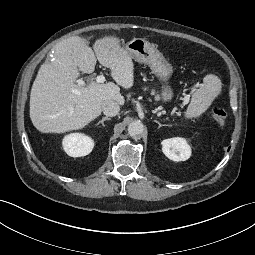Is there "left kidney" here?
I'll return each mask as SVG.
<instances>
[{"label": "left kidney", "instance_id": "left-kidney-1", "mask_svg": "<svg viewBox=\"0 0 255 255\" xmlns=\"http://www.w3.org/2000/svg\"><path fill=\"white\" fill-rule=\"evenodd\" d=\"M162 151L166 157L173 161H185L191 156V147L187 141L180 137L165 139L161 142Z\"/></svg>", "mask_w": 255, "mask_h": 255}]
</instances>
